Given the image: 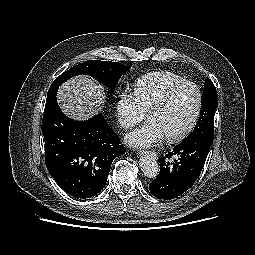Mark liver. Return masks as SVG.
Listing matches in <instances>:
<instances>
[{"label":"liver","instance_id":"obj_1","mask_svg":"<svg viewBox=\"0 0 255 255\" xmlns=\"http://www.w3.org/2000/svg\"><path fill=\"white\" fill-rule=\"evenodd\" d=\"M102 86L86 76L75 77L64 83L58 91V102L70 118L85 120L95 115L102 107Z\"/></svg>","mask_w":255,"mask_h":255}]
</instances>
